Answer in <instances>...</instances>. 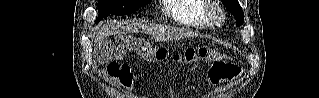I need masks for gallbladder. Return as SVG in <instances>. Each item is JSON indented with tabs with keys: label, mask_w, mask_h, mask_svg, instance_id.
<instances>
[{
	"label": "gallbladder",
	"mask_w": 319,
	"mask_h": 98,
	"mask_svg": "<svg viewBox=\"0 0 319 98\" xmlns=\"http://www.w3.org/2000/svg\"><path fill=\"white\" fill-rule=\"evenodd\" d=\"M106 46V48L97 47L95 50V56L97 58V61L101 64L109 62L113 58V50Z\"/></svg>",
	"instance_id": "gallbladder-1"
}]
</instances>
